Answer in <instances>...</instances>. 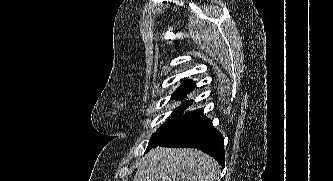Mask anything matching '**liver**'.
Listing matches in <instances>:
<instances>
[{
	"label": "liver",
	"instance_id": "obj_1",
	"mask_svg": "<svg viewBox=\"0 0 333 181\" xmlns=\"http://www.w3.org/2000/svg\"><path fill=\"white\" fill-rule=\"evenodd\" d=\"M219 174L216 160L200 150L156 147L140 160L133 181H220Z\"/></svg>",
	"mask_w": 333,
	"mask_h": 181
}]
</instances>
